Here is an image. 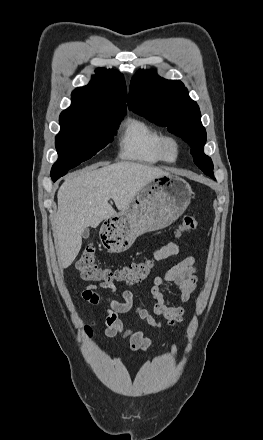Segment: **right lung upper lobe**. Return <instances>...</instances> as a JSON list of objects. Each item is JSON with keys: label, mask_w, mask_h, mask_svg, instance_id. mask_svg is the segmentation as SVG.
I'll list each match as a JSON object with an SVG mask.
<instances>
[{"label": "right lung upper lobe", "mask_w": 263, "mask_h": 440, "mask_svg": "<svg viewBox=\"0 0 263 440\" xmlns=\"http://www.w3.org/2000/svg\"><path fill=\"white\" fill-rule=\"evenodd\" d=\"M91 82L72 92V104L60 114L61 123H77L102 114H125L127 90L123 75L98 68Z\"/></svg>", "instance_id": "right-lung-upper-lobe-1"}]
</instances>
